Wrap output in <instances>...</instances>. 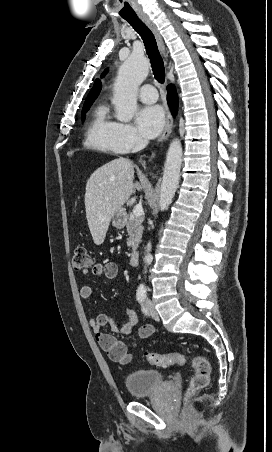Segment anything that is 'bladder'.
Segmentation results:
<instances>
[{"instance_id": "31cf9c89", "label": "bladder", "mask_w": 272, "mask_h": 452, "mask_svg": "<svg viewBox=\"0 0 272 452\" xmlns=\"http://www.w3.org/2000/svg\"><path fill=\"white\" fill-rule=\"evenodd\" d=\"M164 384V377L157 370H132L124 377L127 391L135 398L148 396L160 389Z\"/></svg>"}]
</instances>
